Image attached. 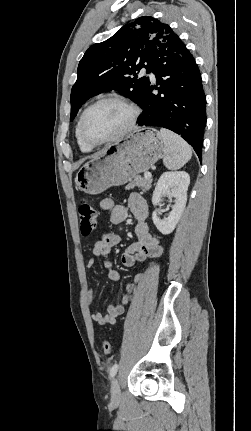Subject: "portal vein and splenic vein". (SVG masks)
<instances>
[{"label":"portal vein and splenic vein","mask_w":251,"mask_h":431,"mask_svg":"<svg viewBox=\"0 0 251 431\" xmlns=\"http://www.w3.org/2000/svg\"><path fill=\"white\" fill-rule=\"evenodd\" d=\"M144 177H145V178H151V173L146 172V173L144 174Z\"/></svg>","instance_id":"portal-vein-and-splenic-vein-1"}]
</instances>
